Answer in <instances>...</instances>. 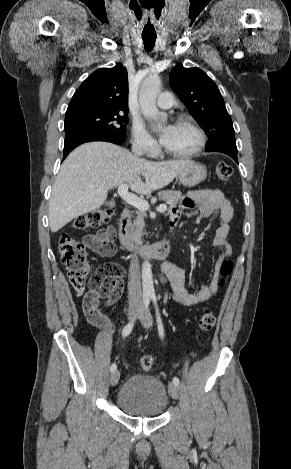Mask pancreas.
I'll use <instances>...</instances> for the list:
<instances>
[{
  "label": "pancreas",
  "mask_w": 291,
  "mask_h": 469,
  "mask_svg": "<svg viewBox=\"0 0 291 469\" xmlns=\"http://www.w3.org/2000/svg\"><path fill=\"white\" fill-rule=\"evenodd\" d=\"M181 195L180 191L165 190L158 193V198L166 201L170 207H174L181 199ZM136 215L135 220L131 224L130 234L134 241L140 242L145 227L144 217H146V213L144 211H137Z\"/></svg>",
  "instance_id": "cf45deb5"
}]
</instances>
